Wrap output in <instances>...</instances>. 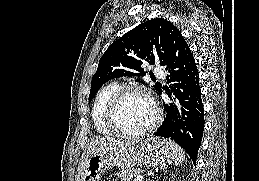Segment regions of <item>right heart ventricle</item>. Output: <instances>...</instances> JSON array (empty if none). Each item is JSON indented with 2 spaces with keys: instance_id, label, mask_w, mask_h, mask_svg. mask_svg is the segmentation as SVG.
<instances>
[{
  "instance_id": "e07e8e85",
  "label": "right heart ventricle",
  "mask_w": 259,
  "mask_h": 181,
  "mask_svg": "<svg viewBox=\"0 0 259 181\" xmlns=\"http://www.w3.org/2000/svg\"><path fill=\"white\" fill-rule=\"evenodd\" d=\"M118 88L119 85L117 83L106 84L98 91L95 97L91 118L97 132L101 135L110 136L115 134L106 122V109L112 95Z\"/></svg>"
}]
</instances>
